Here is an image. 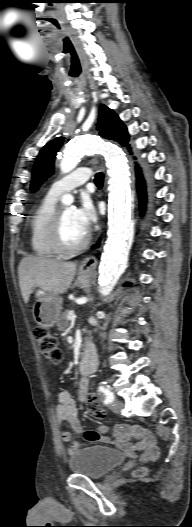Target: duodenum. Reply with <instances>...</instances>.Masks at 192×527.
<instances>
[{
	"mask_svg": "<svg viewBox=\"0 0 192 527\" xmlns=\"http://www.w3.org/2000/svg\"><path fill=\"white\" fill-rule=\"evenodd\" d=\"M96 364L97 362H96L95 351L93 347L90 344H88L85 346L83 353H82V358H81L80 366H79L80 373L83 376L89 375L96 369Z\"/></svg>",
	"mask_w": 192,
	"mask_h": 527,
	"instance_id": "410a0bca",
	"label": "duodenum"
}]
</instances>
